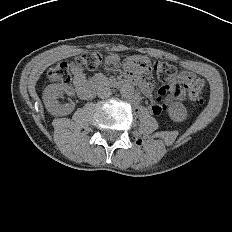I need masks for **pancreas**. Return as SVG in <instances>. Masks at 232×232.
Segmentation results:
<instances>
[{"label":"pancreas","instance_id":"obj_1","mask_svg":"<svg viewBox=\"0 0 232 232\" xmlns=\"http://www.w3.org/2000/svg\"><path fill=\"white\" fill-rule=\"evenodd\" d=\"M96 79L97 80H103V81H107V79L105 78V77H103L102 75H98L97 77H96Z\"/></svg>","mask_w":232,"mask_h":232}]
</instances>
